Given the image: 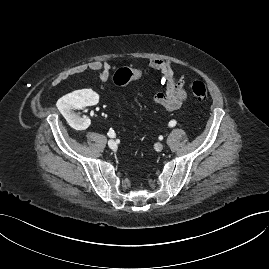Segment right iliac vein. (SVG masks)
Segmentation results:
<instances>
[{
    "mask_svg": "<svg viewBox=\"0 0 269 269\" xmlns=\"http://www.w3.org/2000/svg\"><path fill=\"white\" fill-rule=\"evenodd\" d=\"M108 146L112 149L115 150L117 148V144L114 140H109L108 141Z\"/></svg>",
    "mask_w": 269,
    "mask_h": 269,
    "instance_id": "right-iliac-vein-1",
    "label": "right iliac vein"
}]
</instances>
